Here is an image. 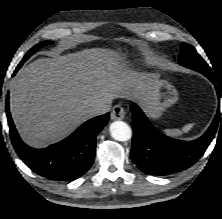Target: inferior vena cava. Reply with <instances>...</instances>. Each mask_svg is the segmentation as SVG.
Wrapping results in <instances>:
<instances>
[{
	"mask_svg": "<svg viewBox=\"0 0 222 219\" xmlns=\"http://www.w3.org/2000/svg\"><path fill=\"white\" fill-rule=\"evenodd\" d=\"M110 106L111 103L97 104L94 105L89 112L92 116L102 115L110 111Z\"/></svg>",
	"mask_w": 222,
	"mask_h": 219,
	"instance_id": "obj_1",
	"label": "inferior vena cava"
}]
</instances>
